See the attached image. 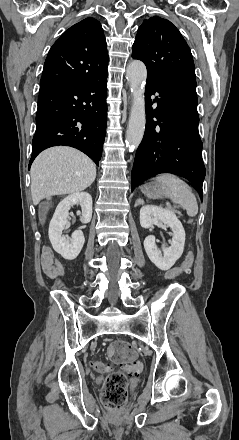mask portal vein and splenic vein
<instances>
[{
	"label": "portal vein and splenic vein",
	"mask_w": 239,
	"mask_h": 440,
	"mask_svg": "<svg viewBox=\"0 0 239 440\" xmlns=\"http://www.w3.org/2000/svg\"><path fill=\"white\" fill-rule=\"evenodd\" d=\"M169 206H171V203L169 202V201H166V204H165V208H168Z\"/></svg>",
	"instance_id": "18ae733b"
}]
</instances>
